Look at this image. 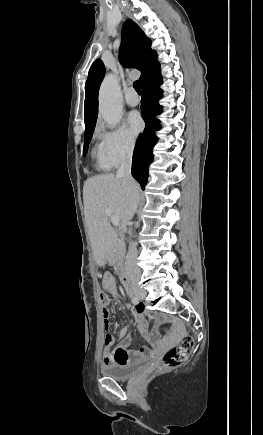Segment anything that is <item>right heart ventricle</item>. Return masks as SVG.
<instances>
[{
  "mask_svg": "<svg viewBox=\"0 0 263 435\" xmlns=\"http://www.w3.org/2000/svg\"><path fill=\"white\" fill-rule=\"evenodd\" d=\"M92 157L95 162V167L101 171L109 170L112 165L106 159L101 143H95L92 148Z\"/></svg>",
  "mask_w": 263,
  "mask_h": 435,
  "instance_id": "1",
  "label": "right heart ventricle"
}]
</instances>
